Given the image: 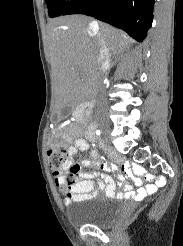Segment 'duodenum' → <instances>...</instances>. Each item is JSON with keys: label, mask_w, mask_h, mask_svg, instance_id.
Here are the masks:
<instances>
[{"label": "duodenum", "mask_w": 183, "mask_h": 246, "mask_svg": "<svg viewBox=\"0 0 183 246\" xmlns=\"http://www.w3.org/2000/svg\"><path fill=\"white\" fill-rule=\"evenodd\" d=\"M85 109H89V104H77L76 108H74V111H70V116H76L77 119H81L82 114L85 113ZM86 136L89 141H96L97 139L96 134L93 133L92 128H88Z\"/></svg>", "instance_id": "obj_1"}]
</instances>
